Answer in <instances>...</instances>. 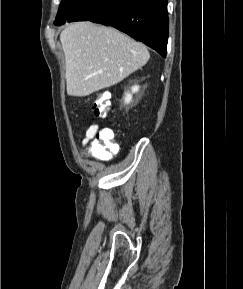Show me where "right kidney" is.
Segmentation results:
<instances>
[{"instance_id": "obj_1", "label": "right kidney", "mask_w": 243, "mask_h": 289, "mask_svg": "<svg viewBox=\"0 0 243 289\" xmlns=\"http://www.w3.org/2000/svg\"><path fill=\"white\" fill-rule=\"evenodd\" d=\"M139 88L140 87L138 85H135L131 87V93L130 92L125 93V96H124L125 104H129L132 101V94L137 93L139 91Z\"/></svg>"}]
</instances>
